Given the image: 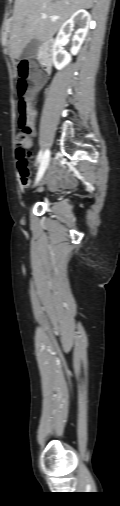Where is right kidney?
I'll return each instance as SVG.
<instances>
[{
  "label": "right kidney",
  "instance_id": "right-kidney-1",
  "mask_svg": "<svg viewBox=\"0 0 120 506\" xmlns=\"http://www.w3.org/2000/svg\"><path fill=\"white\" fill-rule=\"evenodd\" d=\"M90 23V14L86 10L80 9L61 26L53 47V63L56 69H63L70 63L71 55H76L79 52L87 35ZM75 24L79 25L80 28L75 32V35L72 38V47L70 50L71 54H69L62 46L63 41L70 37Z\"/></svg>",
  "mask_w": 120,
  "mask_h": 506
}]
</instances>
